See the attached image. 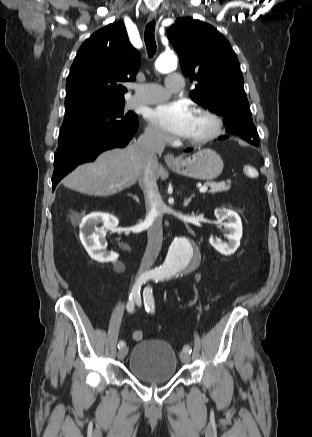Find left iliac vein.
Masks as SVG:
<instances>
[{"instance_id": "obj_1", "label": "left iliac vein", "mask_w": 312, "mask_h": 437, "mask_svg": "<svg viewBox=\"0 0 312 437\" xmlns=\"http://www.w3.org/2000/svg\"><path fill=\"white\" fill-rule=\"evenodd\" d=\"M180 359L183 363L188 364L190 362V355L187 352L180 353Z\"/></svg>"}]
</instances>
